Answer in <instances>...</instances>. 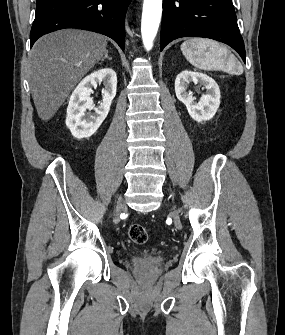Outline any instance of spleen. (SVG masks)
<instances>
[{"mask_svg": "<svg viewBox=\"0 0 285 335\" xmlns=\"http://www.w3.org/2000/svg\"><path fill=\"white\" fill-rule=\"evenodd\" d=\"M184 58L199 70H234L235 64L239 66V74L243 68L233 54L214 40L207 38H187L180 48Z\"/></svg>", "mask_w": 285, "mask_h": 335, "instance_id": "3e777b00", "label": "spleen"}]
</instances>
